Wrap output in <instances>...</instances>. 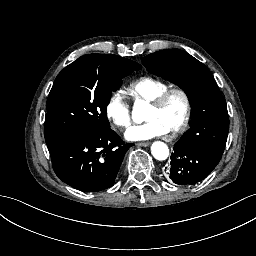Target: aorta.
<instances>
[{"label": "aorta", "mask_w": 256, "mask_h": 256, "mask_svg": "<svg viewBox=\"0 0 256 256\" xmlns=\"http://www.w3.org/2000/svg\"><path fill=\"white\" fill-rule=\"evenodd\" d=\"M151 154L156 160L163 161L169 156V148L166 143L155 141L151 145Z\"/></svg>", "instance_id": "1"}]
</instances>
